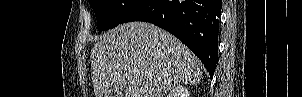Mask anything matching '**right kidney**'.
<instances>
[{"mask_svg": "<svg viewBox=\"0 0 302 97\" xmlns=\"http://www.w3.org/2000/svg\"><path fill=\"white\" fill-rule=\"evenodd\" d=\"M189 90L184 86H178L173 89L167 97H189Z\"/></svg>", "mask_w": 302, "mask_h": 97, "instance_id": "1", "label": "right kidney"}]
</instances>
